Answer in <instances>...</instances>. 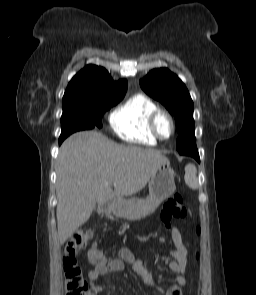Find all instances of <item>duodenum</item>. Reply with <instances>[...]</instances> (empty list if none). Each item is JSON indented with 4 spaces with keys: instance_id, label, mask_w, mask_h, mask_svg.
<instances>
[{
    "instance_id": "410a0bca",
    "label": "duodenum",
    "mask_w": 256,
    "mask_h": 295,
    "mask_svg": "<svg viewBox=\"0 0 256 295\" xmlns=\"http://www.w3.org/2000/svg\"><path fill=\"white\" fill-rule=\"evenodd\" d=\"M115 205L114 200L109 199L100 205V210L103 214H111L114 211Z\"/></svg>"
}]
</instances>
